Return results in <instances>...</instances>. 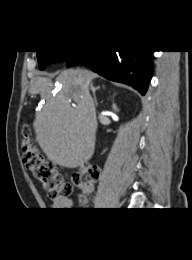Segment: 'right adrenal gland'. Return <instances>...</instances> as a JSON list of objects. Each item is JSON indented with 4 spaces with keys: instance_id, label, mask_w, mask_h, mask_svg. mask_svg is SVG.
<instances>
[{
    "instance_id": "2a0ac1e0",
    "label": "right adrenal gland",
    "mask_w": 192,
    "mask_h": 260,
    "mask_svg": "<svg viewBox=\"0 0 192 260\" xmlns=\"http://www.w3.org/2000/svg\"><path fill=\"white\" fill-rule=\"evenodd\" d=\"M99 89H100V86L94 87L93 84H91V90H92V93H93L94 102H95L96 106H98V102H97V98H96L95 93Z\"/></svg>"
}]
</instances>
